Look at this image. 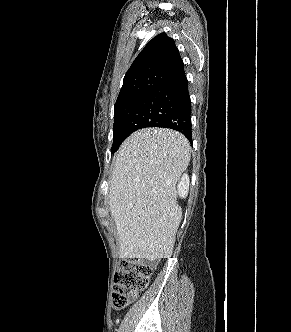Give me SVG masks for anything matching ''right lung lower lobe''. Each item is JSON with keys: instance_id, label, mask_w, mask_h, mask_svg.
Masks as SVG:
<instances>
[{"instance_id": "1", "label": "right lung lower lobe", "mask_w": 291, "mask_h": 332, "mask_svg": "<svg viewBox=\"0 0 291 332\" xmlns=\"http://www.w3.org/2000/svg\"><path fill=\"white\" fill-rule=\"evenodd\" d=\"M191 102L185 72L167 79L137 105L124 127L125 136L146 127L177 130L192 142Z\"/></svg>"}]
</instances>
